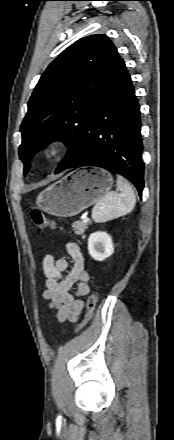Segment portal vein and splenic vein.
Listing matches in <instances>:
<instances>
[{
  "instance_id": "obj_1",
  "label": "portal vein and splenic vein",
  "mask_w": 174,
  "mask_h": 440,
  "mask_svg": "<svg viewBox=\"0 0 174 440\" xmlns=\"http://www.w3.org/2000/svg\"><path fill=\"white\" fill-rule=\"evenodd\" d=\"M83 221H84V222H88V221H89V218H88V217H84Z\"/></svg>"
}]
</instances>
